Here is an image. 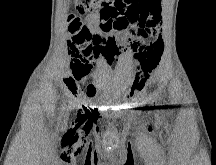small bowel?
<instances>
[{
  "instance_id": "small-bowel-1",
  "label": "small bowel",
  "mask_w": 216,
  "mask_h": 165,
  "mask_svg": "<svg viewBox=\"0 0 216 165\" xmlns=\"http://www.w3.org/2000/svg\"><path fill=\"white\" fill-rule=\"evenodd\" d=\"M160 2L161 0H134L131 5H119L117 9H100L101 13L97 19L98 34L108 41L105 58L109 64H112L121 54L126 40L144 38L147 30L158 28ZM70 68L71 76L65 83L73 93L77 94L79 92L77 82L86 76L88 69L79 61H72ZM145 80L142 74L137 75L127 97L135 98L143 89ZM95 93L94 87H88L85 91V95L90 98Z\"/></svg>"
}]
</instances>
